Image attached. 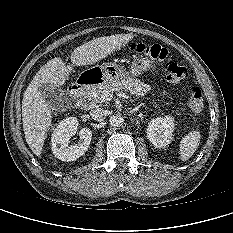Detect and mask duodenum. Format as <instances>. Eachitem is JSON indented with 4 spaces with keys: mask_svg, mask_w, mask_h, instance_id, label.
Returning a JSON list of instances; mask_svg holds the SVG:
<instances>
[{
    "mask_svg": "<svg viewBox=\"0 0 233 233\" xmlns=\"http://www.w3.org/2000/svg\"><path fill=\"white\" fill-rule=\"evenodd\" d=\"M98 80L99 78L97 76L83 75L69 87V94L74 98L79 97L86 87L96 83Z\"/></svg>",
    "mask_w": 233,
    "mask_h": 233,
    "instance_id": "410a0bca",
    "label": "duodenum"
}]
</instances>
